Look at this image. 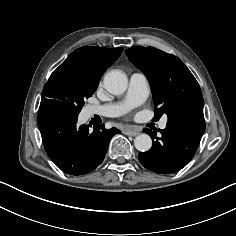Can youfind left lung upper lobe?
Listing matches in <instances>:
<instances>
[{"label": "left lung upper lobe", "mask_w": 236, "mask_h": 236, "mask_svg": "<svg viewBox=\"0 0 236 236\" xmlns=\"http://www.w3.org/2000/svg\"><path fill=\"white\" fill-rule=\"evenodd\" d=\"M129 60L149 79L155 117L170 118L184 111H202L203 96L195 77L176 56L152 47L126 50Z\"/></svg>", "instance_id": "obj_1"}]
</instances>
